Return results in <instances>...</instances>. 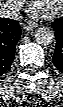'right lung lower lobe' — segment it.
<instances>
[{
  "label": "right lung lower lobe",
  "mask_w": 63,
  "mask_h": 107,
  "mask_svg": "<svg viewBox=\"0 0 63 107\" xmlns=\"http://www.w3.org/2000/svg\"><path fill=\"white\" fill-rule=\"evenodd\" d=\"M20 35L21 29L17 21L0 18V76L12 64Z\"/></svg>",
  "instance_id": "98d812e1"
}]
</instances>
